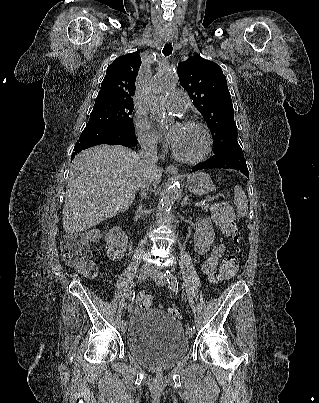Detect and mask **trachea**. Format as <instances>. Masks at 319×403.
<instances>
[{"instance_id":"obj_1","label":"trachea","mask_w":319,"mask_h":403,"mask_svg":"<svg viewBox=\"0 0 319 403\" xmlns=\"http://www.w3.org/2000/svg\"><path fill=\"white\" fill-rule=\"evenodd\" d=\"M172 50H173L172 44L167 43V44H165V46L163 48V54L165 56H169L170 54H172Z\"/></svg>"}]
</instances>
